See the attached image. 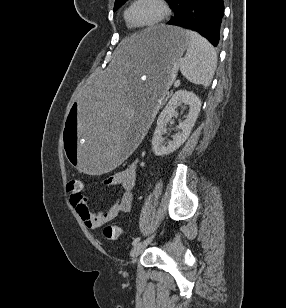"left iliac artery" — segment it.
<instances>
[{
  "label": "left iliac artery",
  "instance_id": "1",
  "mask_svg": "<svg viewBox=\"0 0 286 308\" xmlns=\"http://www.w3.org/2000/svg\"><path fill=\"white\" fill-rule=\"evenodd\" d=\"M141 240V237H137L133 240L132 245L137 244Z\"/></svg>",
  "mask_w": 286,
  "mask_h": 308
}]
</instances>
